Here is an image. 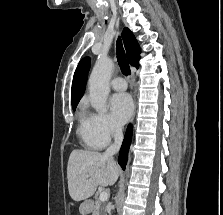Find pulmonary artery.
<instances>
[{
  "label": "pulmonary artery",
  "instance_id": "obj_1",
  "mask_svg": "<svg viewBox=\"0 0 223 215\" xmlns=\"http://www.w3.org/2000/svg\"><path fill=\"white\" fill-rule=\"evenodd\" d=\"M110 84L113 89L118 91H122L127 88V82L121 77L114 78Z\"/></svg>",
  "mask_w": 223,
  "mask_h": 215
}]
</instances>
